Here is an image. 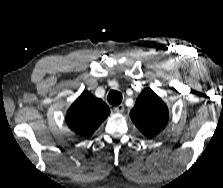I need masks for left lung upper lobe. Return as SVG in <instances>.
<instances>
[{"label":"left lung upper lobe","mask_w":223,"mask_h":188,"mask_svg":"<svg viewBox=\"0 0 223 188\" xmlns=\"http://www.w3.org/2000/svg\"><path fill=\"white\" fill-rule=\"evenodd\" d=\"M130 117L146 137L153 138L166 127L169 112L162 99L150 88H146L138 96Z\"/></svg>","instance_id":"obj_1"}]
</instances>
